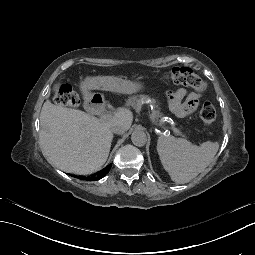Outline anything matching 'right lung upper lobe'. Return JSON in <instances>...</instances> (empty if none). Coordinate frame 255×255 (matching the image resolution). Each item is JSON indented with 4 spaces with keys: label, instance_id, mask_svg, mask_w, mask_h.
Instances as JSON below:
<instances>
[{
    "label": "right lung upper lobe",
    "instance_id": "1",
    "mask_svg": "<svg viewBox=\"0 0 255 255\" xmlns=\"http://www.w3.org/2000/svg\"><path fill=\"white\" fill-rule=\"evenodd\" d=\"M110 168H111V165H108L103 170H101L98 173L92 175L91 177L79 176V178H82V179H88V178L96 179V178H99L102 175H106L109 172Z\"/></svg>",
    "mask_w": 255,
    "mask_h": 255
}]
</instances>
